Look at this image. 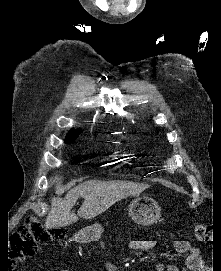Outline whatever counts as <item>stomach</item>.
<instances>
[{
    "instance_id": "stomach-1",
    "label": "stomach",
    "mask_w": 221,
    "mask_h": 271,
    "mask_svg": "<svg viewBox=\"0 0 221 271\" xmlns=\"http://www.w3.org/2000/svg\"><path fill=\"white\" fill-rule=\"evenodd\" d=\"M159 202H154V197H136L129 205V213L140 225H151L155 223L156 219L161 213ZM103 231L100 223H92L87 227V230H78V233H74V238H90L92 241H97Z\"/></svg>"
}]
</instances>
